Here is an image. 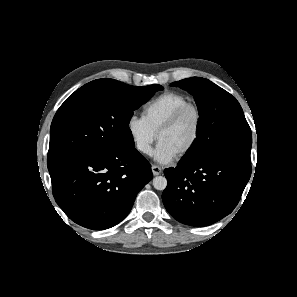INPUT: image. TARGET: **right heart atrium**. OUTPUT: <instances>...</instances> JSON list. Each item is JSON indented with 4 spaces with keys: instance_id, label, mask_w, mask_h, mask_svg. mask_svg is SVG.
I'll list each match as a JSON object with an SVG mask.
<instances>
[{
    "instance_id": "right-heart-atrium-1",
    "label": "right heart atrium",
    "mask_w": 297,
    "mask_h": 297,
    "mask_svg": "<svg viewBox=\"0 0 297 297\" xmlns=\"http://www.w3.org/2000/svg\"><path fill=\"white\" fill-rule=\"evenodd\" d=\"M126 128L135 150L142 155L151 154L156 133L143 116L131 115L127 120Z\"/></svg>"
}]
</instances>
